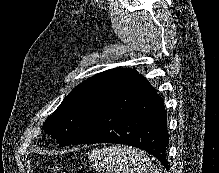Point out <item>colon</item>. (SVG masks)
<instances>
[{"label":"colon","instance_id":"obj_1","mask_svg":"<svg viewBox=\"0 0 219 173\" xmlns=\"http://www.w3.org/2000/svg\"><path fill=\"white\" fill-rule=\"evenodd\" d=\"M53 170L57 173V172H59V171L61 170V168L58 167V166H55V167L53 168ZM78 173H85V172L82 171V170H80V171H78Z\"/></svg>","mask_w":219,"mask_h":173}]
</instances>
